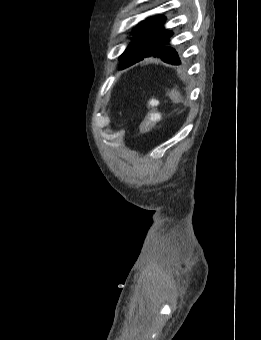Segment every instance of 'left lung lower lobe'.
<instances>
[{"label": "left lung lower lobe", "mask_w": 261, "mask_h": 340, "mask_svg": "<svg viewBox=\"0 0 261 340\" xmlns=\"http://www.w3.org/2000/svg\"><path fill=\"white\" fill-rule=\"evenodd\" d=\"M150 56L159 57L164 62L169 63V64H173V65H178L181 62L178 53L174 52L171 49H165L162 52L149 53V54H146V55H144V56H142V57H140V58H138L134 61L123 64V65H121V69L127 68V67L143 60L145 57H150Z\"/></svg>", "instance_id": "0a47b994"}]
</instances>
